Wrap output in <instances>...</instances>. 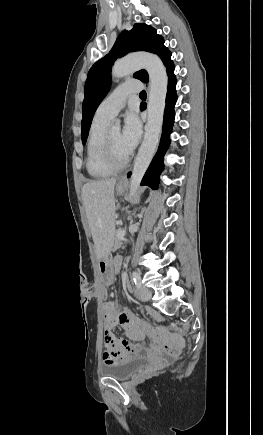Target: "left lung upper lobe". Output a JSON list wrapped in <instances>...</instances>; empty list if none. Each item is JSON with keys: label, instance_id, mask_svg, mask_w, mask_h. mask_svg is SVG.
Returning a JSON list of instances; mask_svg holds the SVG:
<instances>
[{"label": "left lung upper lobe", "instance_id": "5c2ea615", "mask_svg": "<svg viewBox=\"0 0 263 435\" xmlns=\"http://www.w3.org/2000/svg\"><path fill=\"white\" fill-rule=\"evenodd\" d=\"M134 51H148L157 54L164 65L171 62V53L164 46L163 38L156 30L143 23L134 24L130 31L124 30L118 36L111 51L97 61L89 70L85 83V98L83 101L82 143H86L93 115L110 89V72L113 62ZM142 82H148V73L140 70L133 75Z\"/></svg>", "mask_w": 263, "mask_h": 435}]
</instances>
